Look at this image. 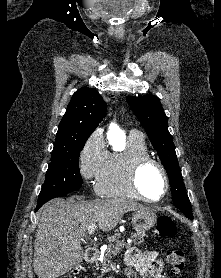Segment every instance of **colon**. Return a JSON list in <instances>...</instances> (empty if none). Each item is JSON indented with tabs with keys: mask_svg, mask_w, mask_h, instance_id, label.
I'll list each match as a JSON object with an SVG mask.
<instances>
[{
	"mask_svg": "<svg viewBox=\"0 0 221 278\" xmlns=\"http://www.w3.org/2000/svg\"><path fill=\"white\" fill-rule=\"evenodd\" d=\"M156 234L162 238H171L176 235V226L168 216H161L157 220ZM171 272L179 274L183 271L186 264V257L182 250L171 249L167 251Z\"/></svg>",
	"mask_w": 221,
	"mask_h": 278,
	"instance_id": "colon-1",
	"label": "colon"
}]
</instances>
